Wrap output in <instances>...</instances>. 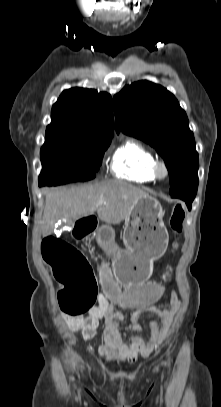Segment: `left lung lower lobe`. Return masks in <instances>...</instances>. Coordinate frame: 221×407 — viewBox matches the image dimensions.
I'll return each instance as SVG.
<instances>
[{
	"mask_svg": "<svg viewBox=\"0 0 221 407\" xmlns=\"http://www.w3.org/2000/svg\"><path fill=\"white\" fill-rule=\"evenodd\" d=\"M197 186H198V184L179 189V190L175 191L174 193H172L171 196L173 198H179V199L184 200L188 209L190 210L192 201L194 200L196 193H197Z\"/></svg>",
	"mask_w": 221,
	"mask_h": 407,
	"instance_id": "left-lung-lower-lobe-1",
	"label": "left lung lower lobe"
}]
</instances>
